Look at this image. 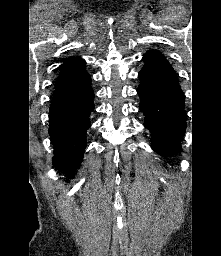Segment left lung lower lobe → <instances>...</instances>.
Segmentation results:
<instances>
[{
	"instance_id": "1",
	"label": "left lung lower lobe",
	"mask_w": 221,
	"mask_h": 256,
	"mask_svg": "<svg viewBox=\"0 0 221 256\" xmlns=\"http://www.w3.org/2000/svg\"><path fill=\"white\" fill-rule=\"evenodd\" d=\"M140 110L144 125L152 134V148L168 156L181 151V138L186 130L183 92L171 66L144 67L138 74Z\"/></svg>"
}]
</instances>
